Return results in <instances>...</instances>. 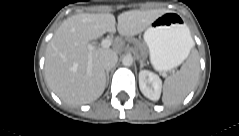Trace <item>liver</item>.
I'll return each instance as SVG.
<instances>
[{
	"mask_svg": "<svg viewBox=\"0 0 239 136\" xmlns=\"http://www.w3.org/2000/svg\"><path fill=\"white\" fill-rule=\"evenodd\" d=\"M166 10H131L117 17L121 36L142 33ZM113 14L81 13L67 18L47 45L45 78L51 90L65 103L87 104L98 99L106 86V73L100 63L109 48L94 49L89 66V42L103 34L116 32ZM114 52V51H113Z\"/></svg>",
	"mask_w": 239,
	"mask_h": 136,
	"instance_id": "liver-1",
	"label": "liver"
}]
</instances>
